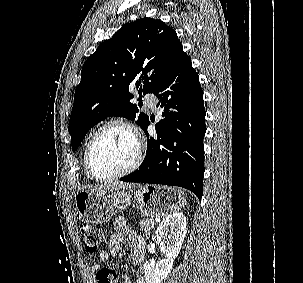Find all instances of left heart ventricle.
Instances as JSON below:
<instances>
[{"label":"left heart ventricle","mask_w":303,"mask_h":283,"mask_svg":"<svg viewBox=\"0 0 303 283\" xmlns=\"http://www.w3.org/2000/svg\"><path fill=\"white\" fill-rule=\"evenodd\" d=\"M136 143L131 133L123 127L112 126L97 138L91 153V163L99 176L117 173L133 161Z\"/></svg>","instance_id":"1"}]
</instances>
